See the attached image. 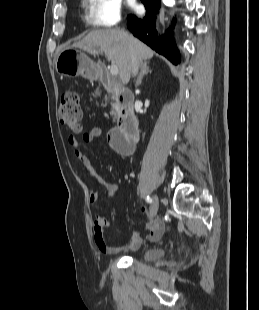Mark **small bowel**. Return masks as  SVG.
<instances>
[{
	"instance_id": "obj_1",
	"label": "small bowel",
	"mask_w": 259,
	"mask_h": 310,
	"mask_svg": "<svg viewBox=\"0 0 259 310\" xmlns=\"http://www.w3.org/2000/svg\"><path fill=\"white\" fill-rule=\"evenodd\" d=\"M102 135V129L100 127H94L90 131L82 134L81 141L83 143H92ZM68 143L71 146L74 155L79 162L84 166L89 177L95 179L109 195L114 196L118 193L120 186L117 183H112L102 179L96 172L90 159L83 154L80 148V142L73 136L68 137ZM98 199L96 192L89 194V202L95 203ZM145 207H141V213L145 212ZM110 225V220L102 215H95L93 218V233L94 240L98 250L107 255L117 254L121 251H133L140 247L143 240L149 242H157L163 232V226L160 222L154 221L147 225L143 233L133 232L127 240L120 244L110 245L105 241L104 229Z\"/></svg>"
}]
</instances>
